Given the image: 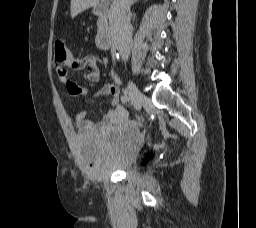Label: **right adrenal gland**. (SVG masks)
<instances>
[{
	"instance_id": "1",
	"label": "right adrenal gland",
	"mask_w": 256,
	"mask_h": 228,
	"mask_svg": "<svg viewBox=\"0 0 256 228\" xmlns=\"http://www.w3.org/2000/svg\"><path fill=\"white\" fill-rule=\"evenodd\" d=\"M133 2L135 3V2H137V0H134Z\"/></svg>"
}]
</instances>
